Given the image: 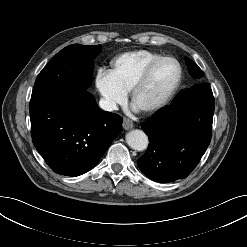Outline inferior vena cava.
Segmentation results:
<instances>
[{"instance_id":"1","label":"inferior vena cava","mask_w":247,"mask_h":247,"mask_svg":"<svg viewBox=\"0 0 247 247\" xmlns=\"http://www.w3.org/2000/svg\"><path fill=\"white\" fill-rule=\"evenodd\" d=\"M99 106L101 109L105 110V111H113L117 109V105L115 102L112 101H108L105 99H101L99 101Z\"/></svg>"}]
</instances>
